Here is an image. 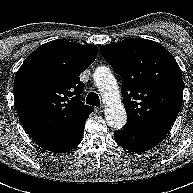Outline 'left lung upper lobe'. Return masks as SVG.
I'll use <instances>...</instances> for the list:
<instances>
[{"mask_svg":"<svg viewBox=\"0 0 193 193\" xmlns=\"http://www.w3.org/2000/svg\"><path fill=\"white\" fill-rule=\"evenodd\" d=\"M100 52L122 76L128 115L125 127H171L181 108L184 87L172 54L161 44L141 38L103 45Z\"/></svg>","mask_w":193,"mask_h":193,"instance_id":"left-lung-upper-lobe-1","label":"left lung upper lobe"}]
</instances>
